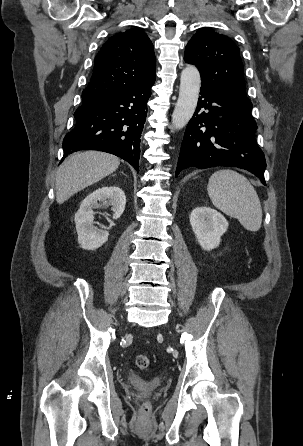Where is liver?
I'll use <instances>...</instances> for the list:
<instances>
[{
    "label": "liver",
    "instance_id": "1",
    "mask_svg": "<svg viewBox=\"0 0 303 446\" xmlns=\"http://www.w3.org/2000/svg\"><path fill=\"white\" fill-rule=\"evenodd\" d=\"M118 157L99 151L78 152L59 167L56 174V201L63 204L75 193L113 173Z\"/></svg>",
    "mask_w": 303,
    "mask_h": 446
}]
</instances>
